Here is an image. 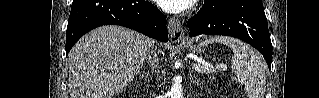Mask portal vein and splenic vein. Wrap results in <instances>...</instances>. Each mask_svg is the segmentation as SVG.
<instances>
[{"mask_svg": "<svg viewBox=\"0 0 319 98\" xmlns=\"http://www.w3.org/2000/svg\"><path fill=\"white\" fill-rule=\"evenodd\" d=\"M192 68L198 72H206L207 70H213V71H221L225 70L226 66L225 65H217V66H212L210 64L202 62L201 64H194L192 65Z\"/></svg>", "mask_w": 319, "mask_h": 98, "instance_id": "portal-vein-and-splenic-vein-1", "label": "portal vein and splenic vein"}]
</instances>
